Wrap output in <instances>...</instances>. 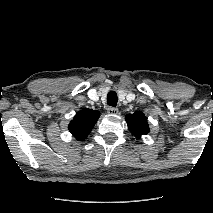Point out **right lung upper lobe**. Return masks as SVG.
I'll return each mask as SVG.
<instances>
[{"mask_svg": "<svg viewBox=\"0 0 213 213\" xmlns=\"http://www.w3.org/2000/svg\"><path fill=\"white\" fill-rule=\"evenodd\" d=\"M99 112L92 109H82L69 124V131L77 140L85 139L99 118Z\"/></svg>", "mask_w": 213, "mask_h": 213, "instance_id": "cb5924a9", "label": "right lung upper lobe"}]
</instances>
